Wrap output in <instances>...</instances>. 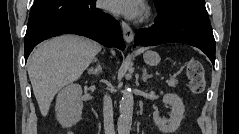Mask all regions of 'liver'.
<instances>
[{
  "label": "liver",
  "instance_id": "1",
  "mask_svg": "<svg viewBox=\"0 0 239 134\" xmlns=\"http://www.w3.org/2000/svg\"><path fill=\"white\" fill-rule=\"evenodd\" d=\"M101 48L93 40L63 35L42 43L33 51L27 61V70L43 116L48 114L56 93L77 80Z\"/></svg>",
  "mask_w": 239,
  "mask_h": 134
}]
</instances>
